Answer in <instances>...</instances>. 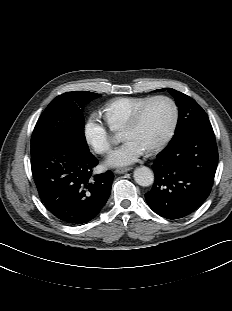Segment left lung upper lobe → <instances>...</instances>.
Listing matches in <instances>:
<instances>
[{"label":"left lung upper lobe","mask_w":232,"mask_h":311,"mask_svg":"<svg viewBox=\"0 0 232 311\" xmlns=\"http://www.w3.org/2000/svg\"><path fill=\"white\" fill-rule=\"evenodd\" d=\"M165 89L166 88L159 90ZM167 90L174 97L176 105L179 107V118L174 138L188 128L208 120L205 111L194 99L175 89L167 88Z\"/></svg>","instance_id":"left-lung-upper-lobe-1"}]
</instances>
